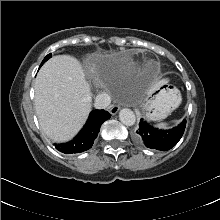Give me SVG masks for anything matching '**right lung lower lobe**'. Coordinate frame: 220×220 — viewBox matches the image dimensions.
<instances>
[{"label": "right lung lower lobe", "mask_w": 220, "mask_h": 220, "mask_svg": "<svg viewBox=\"0 0 220 220\" xmlns=\"http://www.w3.org/2000/svg\"><path fill=\"white\" fill-rule=\"evenodd\" d=\"M111 117L105 110H93L83 129L70 142L56 145V149L65 154L81 153L92 147L101 124Z\"/></svg>", "instance_id": "98d812e1"}]
</instances>
